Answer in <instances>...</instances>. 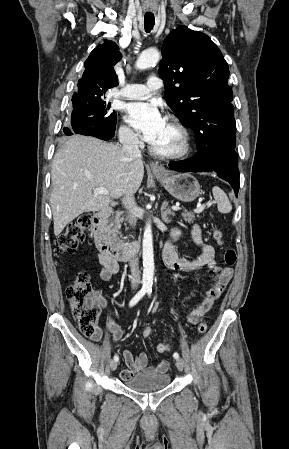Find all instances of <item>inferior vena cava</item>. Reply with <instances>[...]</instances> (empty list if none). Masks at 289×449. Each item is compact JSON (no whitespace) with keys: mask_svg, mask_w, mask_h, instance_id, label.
<instances>
[{"mask_svg":"<svg viewBox=\"0 0 289 449\" xmlns=\"http://www.w3.org/2000/svg\"><path fill=\"white\" fill-rule=\"evenodd\" d=\"M121 143L123 145V151L130 157V159H141V151L139 150L138 141L133 134H128L121 139ZM122 203L124 207L130 212L131 208L135 205L134 195H126L122 199ZM129 222L131 226H135L136 220L133 216L130 215ZM130 270H131V287L135 289L140 284V270H139V260L137 257H132L130 262Z\"/></svg>","mask_w":289,"mask_h":449,"instance_id":"1","label":"inferior vena cava"}]
</instances>
